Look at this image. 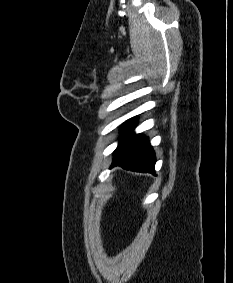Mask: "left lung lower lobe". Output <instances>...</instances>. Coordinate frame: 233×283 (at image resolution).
I'll use <instances>...</instances> for the list:
<instances>
[{"label":"left lung lower lobe","instance_id":"0a47b994","mask_svg":"<svg viewBox=\"0 0 233 283\" xmlns=\"http://www.w3.org/2000/svg\"><path fill=\"white\" fill-rule=\"evenodd\" d=\"M137 122L136 118L129 119L123 125V133L110 168L120 166L124 169L148 172L155 175V154L148 138L132 132Z\"/></svg>","mask_w":233,"mask_h":283}]
</instances>
